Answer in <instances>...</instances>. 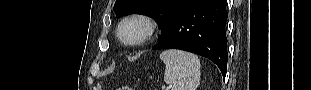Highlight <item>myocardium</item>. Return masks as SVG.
I'll return each mask as SVG.
<instances>
[{"label": "myocardium", "mask_w": 311, "mask_h": 90, "mask_svg": "<svg viewBox=\"0 0 311 90\" xmlns=\"http://www.w3.org/2000/svg\"><path fill=\"white\" fill-rule=\"evenodd\" d=\"M157 22L145 14H132L123 18L116 30L118 41L125 46H138L149 41L157 31ZM129 28H138V34L127 35Z\"/></svg>", "instance_id": "obj_1"}]
</instances>
